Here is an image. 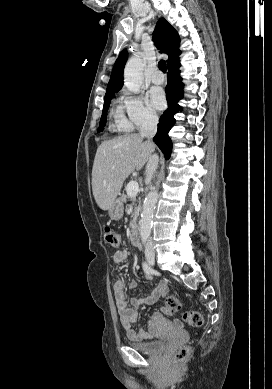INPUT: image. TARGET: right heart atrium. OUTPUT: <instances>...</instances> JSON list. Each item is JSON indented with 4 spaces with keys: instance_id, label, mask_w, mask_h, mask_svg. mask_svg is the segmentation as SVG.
<instances>
[{
    "instance_id": "1",
    "label": "right heart atrium",
    "mask_w": 272,
    "mask_h": 389,
    "mask_svg": "<svg viewBox=\"0 0 272 389\" xmlns=\"http://www.w3.org/2000/svg\"><path fill=\"white\" fill-rule=\"evenodd\" d=\"M120 106L126 114L131 128L145 129L153 127L157 123V116L148 106L146 100L136 94L123 91Z\"/></svg>"
}]
</instances>
